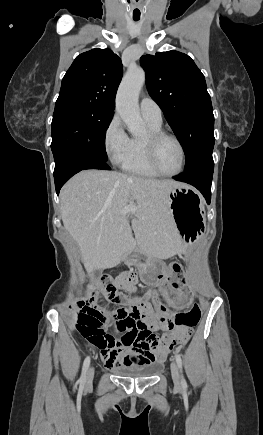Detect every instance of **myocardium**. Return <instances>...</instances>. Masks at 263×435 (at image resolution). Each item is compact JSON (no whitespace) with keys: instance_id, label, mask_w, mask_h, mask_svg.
<instances>
[{"instance_id":"obj_1","label":"myocardium","mask_w":263,"mask_h":435,"mask_svg":"<svg viewBox=\"0 0 263 435\" xmlns=\"http://www.w3.org/2000/svg\"><path fill=\"white\" fill-rule=\"evenodd\" d=\"M163 139L173 140L174 142H176V144L179 146L181 150V154H182L181 166L177 171L172 173L163 171L157 163V159H156L157 146ZM145 147H146V155H147L148 163L158 175L171 177L180 174L184 170L187 161L186 149L182 141L176 135L163 130L150 132L145 137Z\"/></svg>"}]
</instances>
